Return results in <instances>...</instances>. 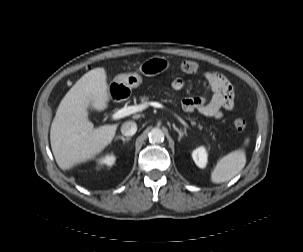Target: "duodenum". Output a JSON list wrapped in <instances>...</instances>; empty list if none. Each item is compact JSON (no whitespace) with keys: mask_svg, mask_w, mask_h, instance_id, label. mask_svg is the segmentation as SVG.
<instances>
[{"mask_svg":"<svg viewBox=\"0 0 303 252\" xmlns=\"http://www.w3.org/2000/svg\"><path fill=\"white\" fill-rule=\"evenodd\" d=\"M125 91V87L120 85V86H116L115 87V92H114V95L116 97H120V95Z\"/></svg>","mask_w":303,"mask_h":252,"instance_id":"obj_1","label":"duodenum"}]
</instances>
